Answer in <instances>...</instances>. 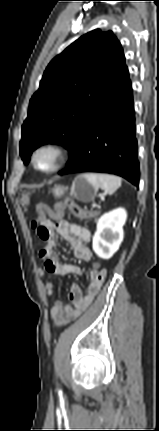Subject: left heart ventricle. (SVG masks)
Wrapping results in <instances>:
<instances>
[{
    "label": "left heart ventricle",
    "instance_id": "b2bd125f",
    "mask_svg": "<svg viewBox=\"0 0 159 431\" xmlns=\"http://www.w3.org/2000/svg\"><path fill=\"white\" fill-rule=\"evenodd\" d=\"M54 162V155L50 151H43L37 156V164L41 169L49 168Z\"/></svg>",
    "mask_w": 159,
    "mask_h": 431
}]
</instances>
